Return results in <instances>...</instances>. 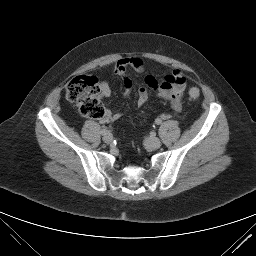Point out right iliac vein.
Returning <instances> with one entry per match:
<instances>
[{
	"label": "right iliac vein",
	"mask_w": 256,
	"mask_h": 256,
	"mask_svg": "<svg viewBox=\"0 0 256 256\" xmlns=\"http://www.w3.org/2000/svg\"><path fill=\"white\" fill-rule=\"evenodd\" d=\"M113 140V136L111 133H107L103 136V141L109 144Z\"/></svg>",
	"instance_id": "63e3f726"
}]
</instances>
